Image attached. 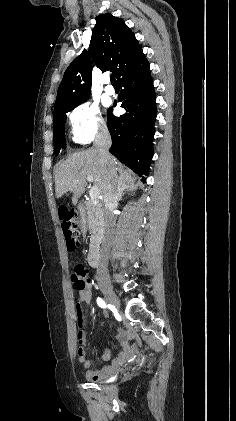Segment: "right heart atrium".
I'll list each match as a JSON object with an SVG mask.
<instances>
[{
    "instance_id": "right-heart-atrium-1",
    "label": "right heart atrium",
    "mask_w": 236,
    "mask_h": 421,
    "mask_svg": "<svg viewBox=\"0 0 236 421\" xmlns=\"http://www.w3.org/2000/svg\"><path fill=\"white\" fill-rule=\"evenodd\" d=\"M73 139L82 145L105 134L107 127L100 107L87 101L76 107L69 115Z\"/></svg>"
}]
</instances>
